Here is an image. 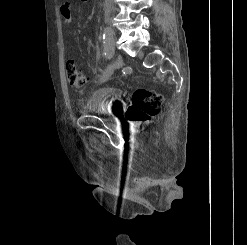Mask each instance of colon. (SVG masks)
<instances>
[{
    "instance_id": "5ec220e1",
    "label": "colon",
    "mask_w": 247,
    "mask_h": 245,
    "mask_svg": "<svg viewBox=\"0 0 247 245\" xmlns=\"http://www.w3.org/2000/svg\"><path fill=\"white\" fill-rule=\"evenodd\" d=\"M65 68L68 82L72 86L81 87L87 83L88 76L85 72L77 69L74 57H67ZM161 102L162 97L156 92L139 88L132 94L131 106L127 111V117L132 122H145L157 114Z\"/></svg>"
}]
</instances>
